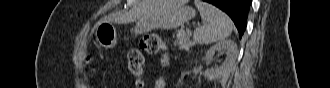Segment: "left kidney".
Returning <instances> with one entry per match:
<instances>
[{
    "mask_svg": "<svg viewBox=\"0 0 330 88\" xmlns=\"http://www.w3.org/2000/svg\"><path fill=\"white\" fill-rule=\"evenodd\" d=\"M221 49L226 51L224 63L219 67L207 69L204 72V76L210 81L220 79L227 72L232 70L235 65L237 58V45L232 40H223L210 47L205 55V59L208 60L212 58L215 52Z\"/></svg>",
    "mask_w": 330,
    "mask_h": 88,
    "instance_id": "1",
    "label": "left kidney"
}]
</instances>
